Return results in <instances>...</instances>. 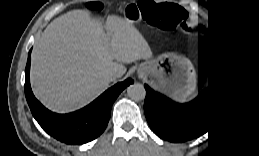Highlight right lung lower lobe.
<instances>
[{"mask_svg":"<svg viewBox=\"0 0 259 156\" xmlns=\"http://www.w3.org/2000/svg\"><path fill=\"white\" fill-rule=\"evenodd\" d=\"M31 50L25 69V96L30 110L40 126L51 136L66 144H84L97 138L110 119L113 102L127 86V79L105 91L88 106L69 113L57 114L46 109L33 95L29 81Z\"/></svg>","mask_w":259,"mask_h":156,"instance_id":"right-lung-lower-lobe-1","label":"right lung lower lobe"}]
</instances>
